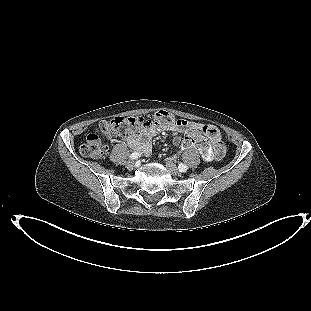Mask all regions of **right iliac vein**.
<instances>
[{
  "label": "right iliac vein",
  "instance_id": "63e3f726",
  "mask_svg": "<svg viewBox=\"0 0 311 311\" xmlns=\"http://www.w3.org/2000/svg\"><path fill=\"white\" fill-rule=\"evenodd\" d=\"M135 165H136L135 161H133V160H129V161L126 162V167L128 169H133L135 167Z\"/></svg>",
  "mask_w": 311,
  "mask_h": 311
}]
</instances>
